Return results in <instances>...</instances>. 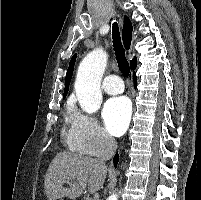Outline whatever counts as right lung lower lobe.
I'll use <instances>...</instances> for the list:
<instances>
[{
    "instance_id": "1",
    "label": "right lung lower lobe",
    "mask_w": 201,
    "mask_h": 200,
    "mask_svg": "<svg viewBox=\"0 0 201 200\" xmlns=\"http://www.w3.org/2000/svg\"><path fill=\"white\" fill-rule=\"evenodd\" d=\"M134 82H135V84L137 83V78H136L135 74H134ZM118 161H119V154L116 153L114 158H113V163H114L115 167L117 166Z\"/></svg>"
}]
</instances>
